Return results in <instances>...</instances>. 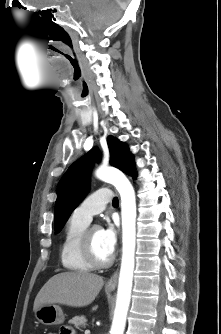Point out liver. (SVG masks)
Returning a JSON list of instances; mask_svg holds the SVG:
<instances>
[{
  "label": "liver",
  "instance_id": "liver-1",
  "mask_svg": "<svg viewBox=\"0 0 221 334\" xmlns=\"http://www.w3.org/2000/svg\"><path fill=\"white\" fill-rule=\"evenodd\" d=\"M104 285L103 277L87 272H64L51 277L37 294L33 310L47 304L84 307L91 304Z\"/></svg>",
  "mask_w": 221,
  "mask_h": 334
}]
</instances>
